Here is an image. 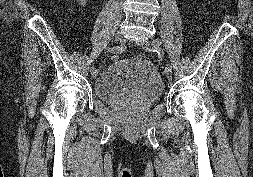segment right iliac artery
Wrapping results in <instances>:
<instances>
[{
  "label": "right iliac artery",
  "mask_w": 253,
  "mask_h": 177,
  "mask_svg": "<svg viewBox=\"0 0 253 177\" xmlns=\"http://www.w3.org/2000/svg\"><path fill=\"white\" fill-rule=\"evenodd\" d=\"M123 50H124L123 45H117V46H114V47H109L107 49V51L110 52V53H119V52H122ZM98 63H99L98 59H93L92 63L90 64V69L91 70H96Z\"/></svg>",
  "instance_id": "82829eb1"
}]
</instances>
